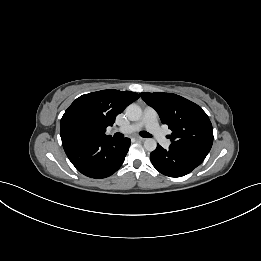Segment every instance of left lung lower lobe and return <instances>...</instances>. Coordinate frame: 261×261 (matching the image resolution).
<instances>
[{"label":"left lung lower lobe","instance_id":"1","mask_svg":"<svg viewBox=\"0 0 261 261\" xmlns=\"http://www.w3.org/2000/svg\"><path fill=\"white\" fill-rule=\"evenodd\" d=\"M207 154L208 152L193 147L171 144L166 150L157 144V148L150 154V160L160 173L169 177H182L199 166Z\"/></svg>","mask_w":261,"mask_h":261}]
</instances>
